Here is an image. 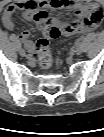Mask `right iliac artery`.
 I'll return each instance as SVG.
<instances>
[{
    "mask_svg": "<svg viewBox=\"0 0 104 137\" xmlns=\"http://www.w3.org/2000/svg\"><path fill=\"white\" fill-rule=\"evenodd\" d=\"M19 46H20L22 49H25V46L23 45L22 42H19Z\"/></svg>",
    "mask_w": 104,
    "mask_h": 137,
    "instance_id": "obj_1",
    "label": "right iliac artery"
}]
</instances>
